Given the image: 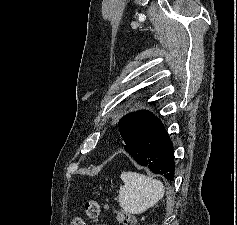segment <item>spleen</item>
I'll list each match as a JSON object with an SVG mask.
<instances>
[{
  "label": "spleen",
  "instance_id": "spleen-1",
  "mask_svg": "<svg viewBox=\"0 0 237 225\" xmlns=\"http://www.w3.org/2000/svg\"><path fill=\"white\" fill-rule=\"evenodd\" d=\"M118 201L129 214H141L163 198L165 188L160 180L137 172H123Z\"/></svg>",
  "mask_w": 237,
  "mask_h": 225
}]
</instances>
